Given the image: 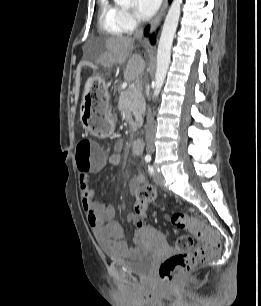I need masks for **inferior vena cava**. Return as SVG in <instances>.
Listing matches in <instances>:
<instances>
[{"label": "inferior vena cava", "mask_w": 261, "mask_h": 306, "mask_svg": "<svg viewBox=\"0 0 261 306\" xmlns=\"http://www.w3.org/2000/svg\"><path fill=\"white\" fill-rule=\"evenodd\" d=\"M143 35L142 28H137L134 32L135 39H141ZM146 144L148 153L154 152V131H155V121L154 113L149 109L147 115V126H146Z\"/></svg>", "instance_id": "1"}]
</instances>
